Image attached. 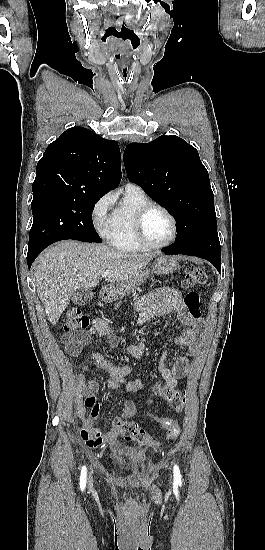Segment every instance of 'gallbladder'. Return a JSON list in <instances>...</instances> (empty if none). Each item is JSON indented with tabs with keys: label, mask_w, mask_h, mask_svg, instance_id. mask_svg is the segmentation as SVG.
Returning a JSON list of instances; mask_svg holds the SVG:
<instances>
[{
	"label": "gallbladder",
	"mask_w": 265,
	"mask_h": 550,
	"mask_svg": "<svg viewBox=\"0 0 265 550\" xmlns=\"http://www.w3.org/2000/svg\"><path fill=\"white\" fill-rule=\"evenodd\" d=\"M93 296L91 289L80 288L71 293L70 299L76 305H86L93 299Z\"/></svg>",
	"instance_id": "bac80fb5"
}]
</instances>
